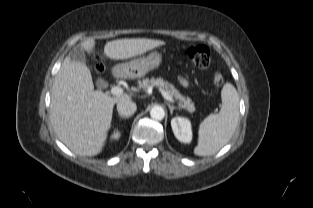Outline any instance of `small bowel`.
I'll return each mask as SVG.
<instances>
[{"label": "small bowel", "instance_id": "obj_1", "mask_svg": "<svg viewBox=\"0 0 313 208\" xmlns=\"http://www.w3.org/2000/svg\"><path fill=\"white\" fill-rule=\"evenodd\" d=\"M180 82L182 83V85L186 86L187 85V81L184 78L180 79Z\"/></svg>", "mask_w": 313, "mask_h": 208}]
</instances>
